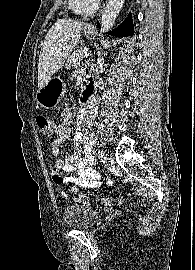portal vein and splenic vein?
I'll return each instance as SVG.
<instances>
[{
    "label": "portal vein and splenic vein",
    "mask_w": 195,
    "mask_h": 270,
    "mask_svg": "<svg viewBox=\"0 0 195 270\" xmlns=\"http://www.w3.org/2000/svg\"><path fill=\"white\" fill-rule=\"evenodd\" d=\"M89 56H90V53H88V52H85L83 55H81V57H84V58H85V57L87 58V57H89Z\"/></svg>",
    "instance_id": "obj_1"
}]
</instances>
